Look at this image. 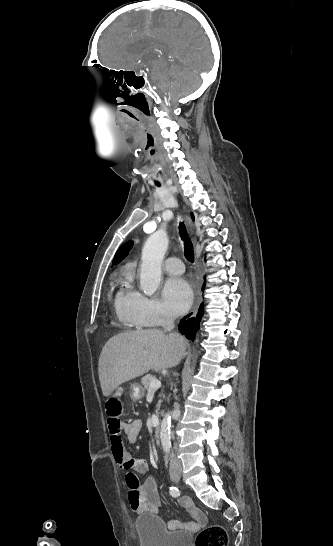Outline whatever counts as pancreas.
<instances>
[{
	"instance_id": "pancreas-1",
	"label": "pancreas",
	"mask_w": 333,
	"mask_h": 546,
	"mask_svg": "<svg viewBox=\"0 0 333 546\" xmlns=\"http://www.w3.org/2000/svg\"><path fill=\"white\" fill-rule=\"evenodd\" d=\"M156 379V377L154 375H151V374H147L145 375L142 380H141V384L144 386V391L145 390H149L150 388V383L152 380ZM159 396H161V394H159ZM160 403L161 401L159 400L158 401V404H157V407L159 408L160 407Z\"/></svg>"
}]
</instances>
